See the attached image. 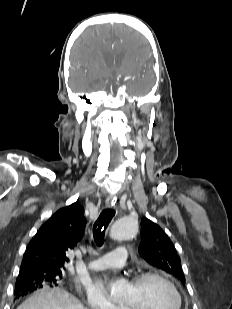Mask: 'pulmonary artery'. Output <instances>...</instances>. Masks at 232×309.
I'll use <instances>...</instances> for the list:
<instances>
[{
    "instance_id": "obj_1",
    "label": "pulmonary artery",
    "mask_w": 232,
    "mask_h": 309,
    "mask_svg": "<svg viewBox=\"0 0 232 309\" xmlns=\"http://www.w3.org/2000/svg\"><path fill=\"white\" fill-rule=\"evenodd\" d=\"M128 257V251L124 247L117 248L114 252L108 253L98 259L88 262V268L91 270H105L122 266Z\"/></svg>"
}]
</instances>
